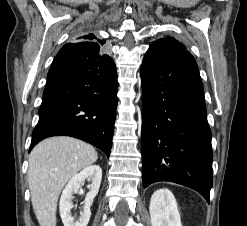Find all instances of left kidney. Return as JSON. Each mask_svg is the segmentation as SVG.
Segmentation results:
<instances>
[{
    "label": "left kidney",
    "instance_id": "5707ae66",
    "mask_svg": "<svg viewBox=\"0 0 247 226\" xmlns=\"http://www.w3.org/2000/svg\"><path fill=\"white\" fill-rule=\"evenodd\" d=\"M149 212L152 226H182L175 197L168 189L153 193Z\"/></svg>",
    "mask_w": 247,
    "mask_h": 226
}]
</instances>
